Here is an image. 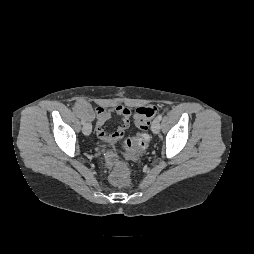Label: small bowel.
Segmentation results:
<instances>
[{
    "mask_svg": "<svg viewBox=\"0 0 254 254\" xmlns=\"http://www.w3.org/2000/svg\"><path fill=\"white\" fill-rule=\"evenodd\" d=\"M75 110L77 114L84 120L91 121L96 119V134L101 140L108 143H114L117 140L121 139L131 123V110L121 104L117 105L113 109L103 107L93 109L86 100L80 99L75 104ZM113 114L121 117V123L115 131L107 132L104 126ZM112 157L113 154L110 152L109 158L111 159Z\"/></svg>",
    "mask_w": 254,
    "mask_h": 254,
    "instance_id": "1",
    "label": "small bowel"
}]
</instances>
